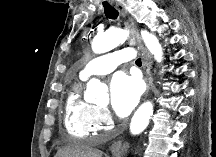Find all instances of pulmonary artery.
<instances>
[{
	"instance_id": "e3ab8cb5",
	"label": "pulmonary artery",
	"mask_w": 216,
	"mask_h": 157,
	"mask_svg": "<svg viewBox=\"0 0 216 157\" xmlns=\"http://www.w3.org/2000/svg\"><path fill=\"white\" fill-rule=\"evenodd\" d=\"M136 53L132 48H124L112 53L104 54L89 61L80 72L81 79L85 80L93 75L107 74L114 71L122 62L132 60Z\"/></svg>"
}]
</instances>
